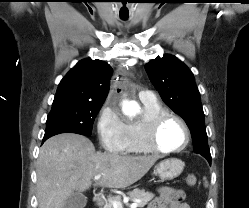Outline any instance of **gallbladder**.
<instances>
[{
	"label": "gallbladder",
	"instance_id": "obj_1",
	"mask_svg": "<svg viewBox=\"0 0 249 208\" xmlns=\"http://www.w3.org/2000/svg\"><path fill=\"white\" fill-rule=\"evenodd\" d=\"M87 204V197L79 192H73L65 201L64 208H84Z\"/></svg>",
	"mask_w": 249,
	"mask_h": 208
}]
</instances>
